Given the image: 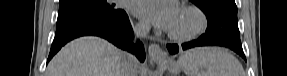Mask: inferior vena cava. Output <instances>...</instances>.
<instances>
[{
	"label": "inferior vena cava",
	"mask_w": 287,
	"mask_h": 76,
	"mask_svg": "<svg viewBox=\"0 0 287 76\" xmlns=\"http://www.w3.org/2000/svg\"><path fill=\"white\" fill-rule=\"evenodd\" d=\"M135 36L145 38L150 30L149 24H138L134 28ZM126 61L123 65L121 76H136L137 74V59L135 56L126 53Z\"/></svg>",
	"instance_id": "1"
}]
</instances>
